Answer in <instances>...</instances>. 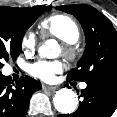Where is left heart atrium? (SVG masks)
<instances>
[{
    "label": "left heart atrium",
    "instance_id": "left-heart-atrium-1",
    "mask_svg": "<svg viewBox=\"0 0 117 117\" xmlns=\"http://www.w3.org/2000/svg\"><path fill=\"white\" fill-rule=\"evenodd\" d=\"M64 67L65 64L61 60H38L29 66L28 72L44 82H53Z\"/></svg>",
    "mask_w": 117,
    "mask_h": 117
}]
</instances>
